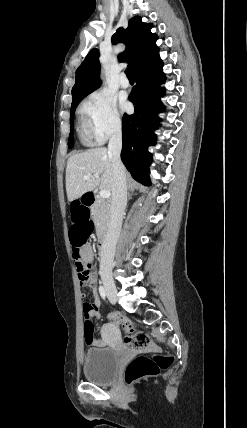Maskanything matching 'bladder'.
<instances>
[{
	"label": "bladder",
	"mask_w": 247,
	"mask_h": 428,
	"mask_svg": "<svg viewBox=\"0 0 247 428\" xmlns=\"http://www.w3.org/2000/svg\"><path fill=\"white\" fill-rule=\"evenodd\" d=\"M120 357L113 348H90L86 351L83 362L85 378L95 384L112 383L119 372Z\"/></svg>",
	"instance_id": "obj_1"
}]
</instances>
